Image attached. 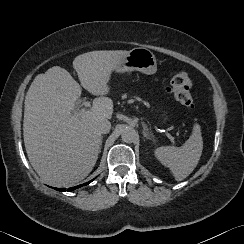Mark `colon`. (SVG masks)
<instances>
[{
  "label": "colon",
  "instance_id": "1",
  "mask_svg": "<svg viewBox=\"0 0 244 244\" xmlns=\"http://www.w3.org/2000/svg\"><path fill=\"white\" fill-rule=\"evenodd\" d=\"M192 86L193 81L189 74L186 72H179L172 77L169 90L180 105L188 109H193L195 107V102L190 93Z\"/></svg>",
  "mask_w": 244,
  "mask_h": 244
}]
</instances>
